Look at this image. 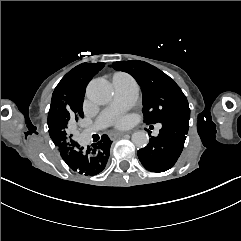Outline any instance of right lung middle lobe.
I'll return each mask as SVG.
<instances>
[{
	"instance_id": "right-lung-middle-lobe-1",
	"label": "right lung middle lobe",
	"mask_w": 241,
	"mask_h": 241,
	"mask_svg": "<svg viewBox=\"0 0 241 241\" xmlns=\"http://www.w3.org/2000/svg\"><path fill=\"white\" fill-rule=\"evenodd\" d=\"M104 63H82L69 71L56 86L48 116L62 121L68 128L83 118V101L87 84Z\"/></svg>"
}]
</instances>
